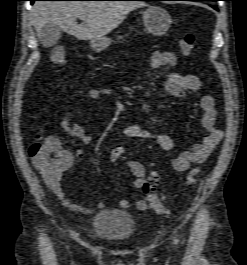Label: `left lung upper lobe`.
Returning <instances> with one entry per match:
<instances>
[{
  "label": "left lung upper lobe",
  "mask_w": 247,
  "mask_h": 265,
  "mask_svg": "<svg viewBox=\"0 0 247 265\" xmlns=\"http://www.w3.org/2000/svg\"><path fill=\"white\" fill-rule=\"evenodd\" d=\"M203 1H218V0H203Z\"/></svg>",
  "instance_id": "left-lung-upper-lobe-1"
}]
</instances>
